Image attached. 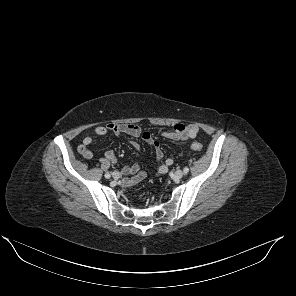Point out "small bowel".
Returning a JSON list of instances; mask_svg holds the SVG:
<instances>
[{
	"label": "small bowel",
	"mask_w": 296,
	"mask_h": 296,
	"mask_svg": "<svg viewBox=\"0 0 296 296\" xmlns=\"http://www.w3.org/2000/svg\"><path fill=\"white\" fill-rule=\"evenodd\" d=\"M93 132L97 136H104L108 132H111L117 136L120 134H127L132 137H137L144 140L146 143L151 145L155 150L156 159L158 161L156 165V175L165 174L168 171V168L174 163V158L172 157L166 158L165 160L163 159L164 152L158 140L155 139L148 130L138 125L131 124V123H122V124L110 123L104 126H97ZM198 134H199L198 127L194 125H185L182 123H177L172 127L171 130L163 132L164 137L174 141H186L189 139H194L198 136ZM93 142H94V139L90 136H87L83 139L82 146L80 147V152L85 158L92 157V152L88 147ZM131 144L135 148V150H137L138 152L141 151V147L136 141H131ZM103 156L106 160H108L112 164H115L117 162L116 155L112 150L105 151ZM123 173L125 175L131 176L130 178L121 179V184L124 186H134L148 175L146 171L141 170V166L139 164L125 166L123 168Z\"/></svg>",
	"instance_id": "small-bowel-1"
}]
</instances>
